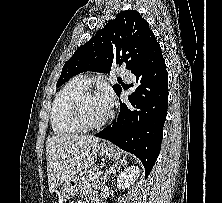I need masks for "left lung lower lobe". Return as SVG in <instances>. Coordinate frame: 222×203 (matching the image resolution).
Segmentation results:
<instances>
[{
	"mask_svg": "<svg viewBox=\"0 0 222 203\" xmlns=\"http://www.w3.org/2000/svg\"><path fill=\"white\" fill-rule=\"evenodd\" d=\"M130 71L135 75L130 84L135 91L128 97V103L120 102L118 118L95 136L136 155L147 176L161 149L168 107V75L153 32L147 38L140 59Z\"/></svg>",
	"mask_w": 222,
	"mask_h": 203,
	"instance_id": "left-lung-lower-lobe-1",
	"label": "left lung lower lobe"
}]
</instances>
